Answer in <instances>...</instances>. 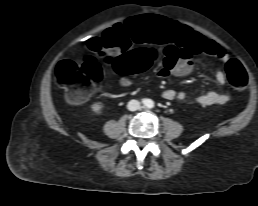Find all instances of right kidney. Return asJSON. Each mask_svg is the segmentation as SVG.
<instances>
[{
    "label": "right kidney",
    "instance_id": "right-kidney-1",
    "mask_svg": "<svg viewBox=\"0 0 258 206\" xmlns=\"http://www.w3.org/2000/svg\"><path fill=\"white\" fill-rule=\"evenodd\" d=\"M102 109V105L100 103H95L93 106H92V110L95 112V113H100V110Z\"/></svg>",
    "mask_w": 258,
    "mask_h": 206
}]
</instances>
